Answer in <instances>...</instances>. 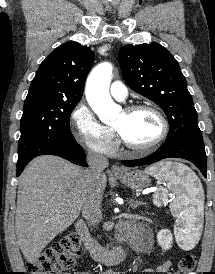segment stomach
<instances>
[{
    "label": "stomach",
    "mask_w": 215,
    "mask_h": 274,
    "mask_svg": "<svg viewBox=\"0 0 215 274\" xmlns=\"http://www.w3.org/2000/svg\"><path fill=\"white\" fill-rule=\"evenodd\" d=\"M117 178L133 190H142L150 185L149 175L142 170L128 171Z\"/></svg>",
    "instance_id": "0dacf381"
}]
</instances>
